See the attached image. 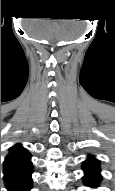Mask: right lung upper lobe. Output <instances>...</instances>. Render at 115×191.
<instances>
[{
  "label": "right lung upper lobe",
  "mask_w": 115,
  "mask_h": 191,
  "mask_svg": "<svg viewBox=\"0 0 115 191\" xmlns=\"http://www.w3.org/2000/svg\"><path fill=\"white\" fill-rule=\"evenodd\" d=\"M31 154L22 146L16 145L10 148V153L4 161V173L22 172L33 169L30 161Z\"/></svg>",
  "instance_id": "cb5924a9"
}]
</instances>
